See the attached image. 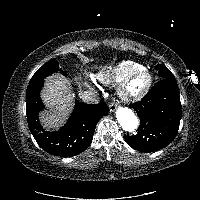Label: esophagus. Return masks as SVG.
Segmentation results:
<instances>
[{
    "instance_id": "1",
    "label": "esophagus",
    "mask_w": 200,
    "mask_h": 200,
    "mask_svg": "<svg viewBox=\"0 0 200 200\" xmlns=\"http://www.w3.org/2000/svg\"><path fill=\"white\" fill-rule=\"evenodd\" d=\"M118 103L113 101L109 105L110 112H114L117 109Z\"/></svg>"
}]
</instances>
